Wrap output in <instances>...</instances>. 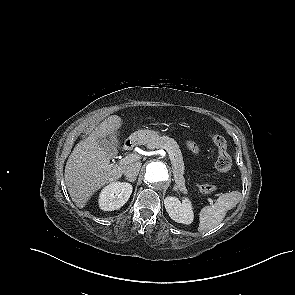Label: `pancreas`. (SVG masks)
Here are the masks:
<instances>
[{
    "mask_svg": "<svg viewBox=\"0 0 295 295\" xmlns=\"http://www.w3.org/2000/svg\"><path fill=\"white\" fill-rule=\"evenodd\" d=\"M160 147H166L171 150L173 154V160L171 162L172 172L174 175V180L177 184L176 186L182 193L186 194L187 189L185 186V179L183 177L184 163L181 150L179 149V145L173 138H170L168 136L157 137L153 141L147 143V148L149 149H155Z\"/></svg>",
    "mask_w": 295,
    "mask_h": 295,
    "instance_id": "pancreas-1",
    "label": "pancreas"
}]
</instances>
